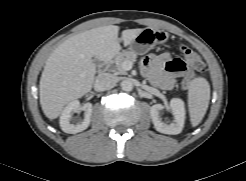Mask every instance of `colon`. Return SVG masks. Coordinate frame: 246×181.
Wrapping results in <instances>:
<instances>
[{
  "label": "colon",
  "mask_w": 246,
  "mask_h": 181,
  "mask_svg": "<svg viewBox=\"0 0 246 181\" xmlns=\"http://www.w3.org/2000/svg\"><path fill=\"white\" fill-rule=\"evenodd\" d=\"M180 53L188 69V73L182 80V87L187 89L191 85L195 72H203L205 70V64L200 55L187 46H181Z\"/></svg>",
  "instance_id": "1"
}]
</instances>
